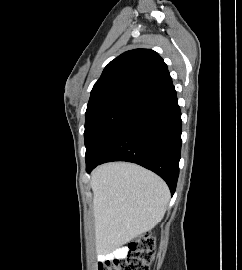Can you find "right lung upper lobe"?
Instances as JSON below:
<instances>
[{
  "label": "right lung upper lobe",
  "mask_w": 242,
  "mask_h": 270,
  "mask_svg": "<svg viewBox=\"0 0 242 270\" xmlns=\"http://www.w3.org/2000/svg\"><path fill=\"white\" fill-rule=\"evenodd\" d=\"M171 85L167 65L157 52L127 51L105 67L93 86L87 110L118 101L139 104Z\"/></svg>",
  "instance_id": "right-lung-upper-lobe-1"
}]
</instances>
